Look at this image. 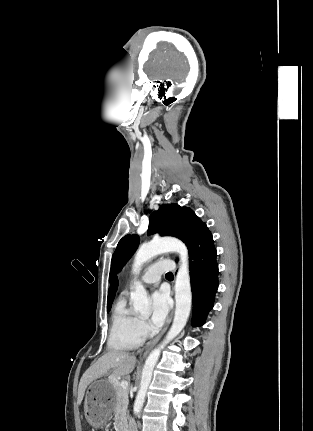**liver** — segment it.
Masks as SVG:
<instances>
[{
	"instance_id": "obj_1",
	"label": "liver",
	"mask_w": 313,
	"mask_h": 431,
	"mask_svg": "<svg viewBox=\"0 0 313 431\" xmlns=\"http://www.w3.org/2000/svg\"><path fill=\"white\" fill-rule=\"evenodd\" d=\"M135 364L136 357L128 352L112 350L104 354L83 374L78 387L77 403L81 404L85 390L91 382L108 372H111L109 379L115 381L118 377L130 374L134 370Z\"/></svg>"
}]
</instances>
